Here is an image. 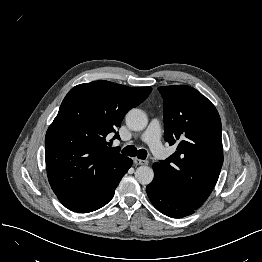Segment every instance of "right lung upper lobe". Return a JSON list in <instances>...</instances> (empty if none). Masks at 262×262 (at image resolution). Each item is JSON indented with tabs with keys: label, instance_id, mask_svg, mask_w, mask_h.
Listing matches in <instances>:
<instances>
[{
	"label": "right lung upper lobe",
	"instance_id": "right-lung-upper-lobe-1",
	"mask_svg": "<svg viewBox=\"0 0 262 262\" xmlns=\"http://www.w3.org/2000/svg\"><path fill=\"white\" fill-rule=\"evenodd\" d=\"M151 91L109 81L69 91L45 137L48 180L57 197H98L113 188L128 157L107 147V139H120L116 127Z\"/></svg>",
	"mask_w": 262,
	"mask_h": 262
}]
</instances>
